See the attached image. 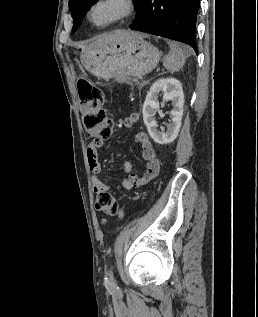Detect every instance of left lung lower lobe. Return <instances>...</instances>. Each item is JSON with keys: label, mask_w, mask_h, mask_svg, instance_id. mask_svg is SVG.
Wrapping results in <instances>:
<instances>
[{"label": "left lung lower lobe", "mask_w": 258, "mask_h": 317, "mask_svg": "<svg viewBox=\"0 0 258 317\" xmlns=\"http://www.w3.org/2000/svg\"><path fill=\"white\" fill-rule=\"evenodd\" d=\"M200 0H143L133 30L183 42L197 53L195 30Z\"/></svg>", "instance_id": "1"}]
</instances>
